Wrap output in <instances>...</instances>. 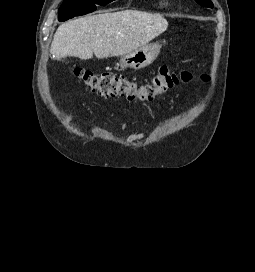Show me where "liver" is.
<instances>
[{
  "label": "liver",
  "instance_id": "liver-1",
  "mask_svg": "<svg viewBox=\"0 0 255 272\" xmlns=\"http://www.w3.org/2000/svg\"><path fill=\"white\" fill-rule=\"evenodd\" d=\"M168 27L160 14L137 10L87 15L61 24L50 51L57 60L67 56L91 59L123 56L147 45Z\"/></svg>",
  "mask_w": 255,
  "mask_h": 272
}]
</instances>
